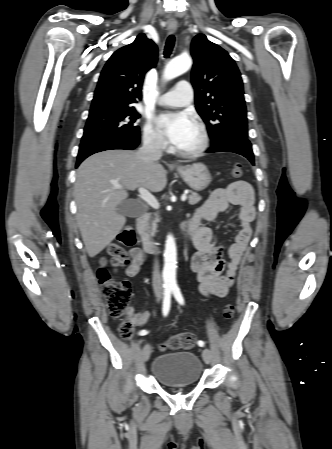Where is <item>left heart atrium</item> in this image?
I'll list each match as a JSON object with an SVG mask.
<instances>
[{"instance_id":"obj_1","label":"left heart atrium","mask_w":332,"mask_h":449,"mask_svg":"<svg viewBox=\"0 0 332 449\" xmlns=\"http://www.w3.org/2000/svg\"><path fill=\"white\" fill-rule=\"evenodd\" d=\"M157 122L163 134L178 148L195 128V122L187 112L164 113Z\"/></svg>"}]
</instances>
